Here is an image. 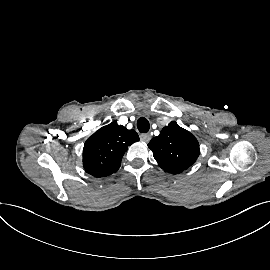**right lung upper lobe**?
Instances as JSON below:
<instances>
[{
    "label": "right lung upper lobe",
    "mask_w": 270,
    "mask_h": 270,
    "mask_svg": "<svg viewBox=\"0 0 270 270\" xmlns=\"http://www.w3.org/2000/svg\"><path fill=\"white\" fill-rule=\"evenodd\" d=\"M139 140L135 130L112 122L100 128L87 139L83 148V166L94 177L115 173L128 146Z\"/></svg>",
    "instance_id": "cb5924a9"
}]
</instances>
